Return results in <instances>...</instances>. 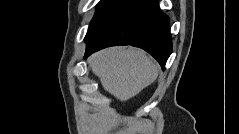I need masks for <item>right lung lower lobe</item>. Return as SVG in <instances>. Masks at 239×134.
I'll use <instances>...</instances> for the list:
<instances>
[{
  "instance_id": "right-lung-lower-lobe-1",
  "label": "right lung lower lobe",
  "mask_w": 239,
  "mask_h": 134,
  "mask_svg": "<svg viewBox=\"0 0 239 134\" xmlns=\"http://www.w3.org/2000/svg\"><path fill=\"white\" fill-rule=\"evenodd\" d=\"M85 41V57L108 46L132 45L150 53L162 68L172 51L169 17L158 0H128Z\"/></svg>"
}]
</instances>
